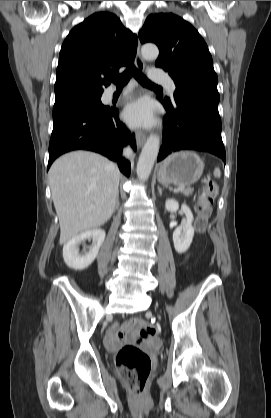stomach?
I'll return each instance as SVG.
<instances>
[{"label":"stomach","mask_w":271,"mask_h":418,"mask_svg":"<svg viewBox=\"0 0 271 418\" xmlns=\"http://www.w3.org/2000/svg\"><path fill=\"white\" fill-rule=\"evenodd\" d=\"M204 162L191 151H181L168 156L157 171L158 181L164 185L188 186L202 175Z\"/></svg>","instance_id":"0dacf381"}]
</instances>
